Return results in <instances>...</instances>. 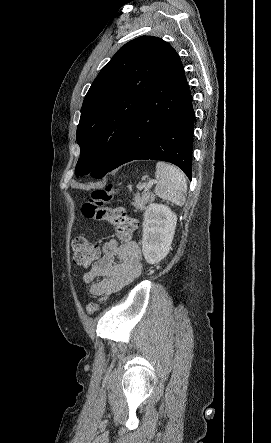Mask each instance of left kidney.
I'll return each mask as SVG.
<instances>
[{"mask_svg":"<svg viewBox=\"0 0 271 443\" xmlns=\"http://www.w3.org/2000/svg\"><path fill=\"white\" fill-rule=\"evenodd\" d=\"M177 216L168 206L150 204L144 214L142 251L148 263H159L171 249Z\"/></svg>","mask_w":271,"mask_h":443,"instance_id":"5707ae66","label":"left kidney"}]
</instances>
